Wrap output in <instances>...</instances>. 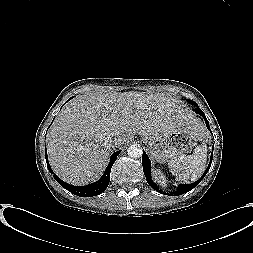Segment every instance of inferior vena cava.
Instances as JSON below:
<instances>
[{"label":"inferior vena cava","instance_id":"obj_1","mask_svg":"<svg viewBox=\"0 0 253 253\" xmlns=\"http://www.w3.org/2000/svg\"><path fill=\"white\" fill-rule=\"evenodd\" d=\"M110 142L113 145V147L116 149H121L123 147L122 139H121L120 135H118V134L111 135Z\"/></svg>","mask_w":253,"mask_h":253}]
</instances>
